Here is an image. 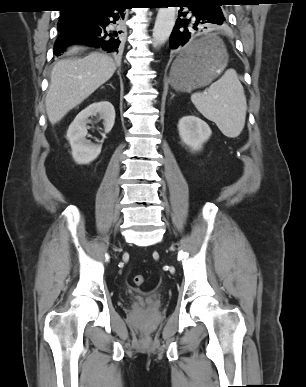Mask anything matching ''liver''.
Masks as SVG:
<instances>
[{
	"label": "liver",
	"mask_w": 306,
	"mask_h": 387,
	"mask_svg": "<svg viewBox=\"0 0 306 387\" xmlns=\"http://www.w3.org/2000/svg\"><path fill=\"white\" fill-rule=\"evenodd\" d=\"M79 46H72L68 53H77ZM116 71L111 57L92 52L83 58L58 61L52 69L46 96V111L51 124L59 122L71 109L82 103Z\"/></svg>",
	"instance_id": "liver-1"
}]
</instances>
